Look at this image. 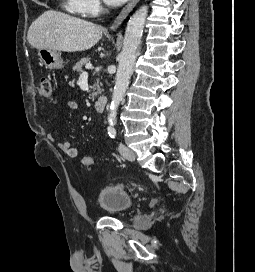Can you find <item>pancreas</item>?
Wrapping results in <instances>:
<instances>
[{"label":"pancreas","instance_id":"1","mask_svg":"<svg viewBox=\"0 0 255 272\" xmlns=\"http://www.w3.org/2000/svg\"><path fill=\"white\" fill-rule=\"evenodd\" d=\"M90 63V58L89 57H84L80 61H78L74 66L73 70L76 72H82V68L84 65ZM92 88V93L90 97L94 99L95 96L101 94V88L99 86V79L93 84Z\"/></svg>","mask_w":255,"mask_h":272}]
</instances>
